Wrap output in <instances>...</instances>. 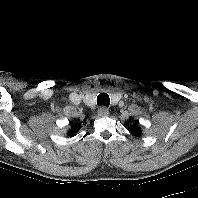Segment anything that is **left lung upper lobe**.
Segmentation results:
<instances>
[{"label": "left lung upper lobe", "mask_w": 198, "mask_h": 198, "mask_svg": "<svg viewBox=\"0 0 198 198\" xmlns=\"http://www.w3.org/2000/svg\"><path fill=\"white\" fill-rule=\"evenodd\" d=\"M130 132L134 135V136H140L141 135V130L138 126H134L130 129Z\"/></svg>", "instance_id": "1"}]
</instances>
